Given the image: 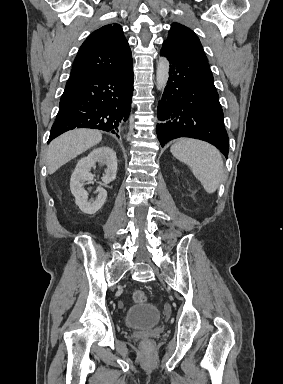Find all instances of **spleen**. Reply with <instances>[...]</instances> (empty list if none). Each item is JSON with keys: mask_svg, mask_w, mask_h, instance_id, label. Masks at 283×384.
Segmentation results:
<instances>
[{"mask_svg": "<svg viewBox=\"0 0 283 384\" xmlns=\"http://www.w3.org/2000/svg\"><path fill=\"white\" fill-rule=\"evenodd\" d=\"M170 152L191 168L208 194L216 192L224 172L222 156L217 148L201 140L180 138L171 146Z\"/></svg>", "mask_w": 283, "mask_h": 384, "instance_id": "1", "label": "spleen"}]
</instances>
